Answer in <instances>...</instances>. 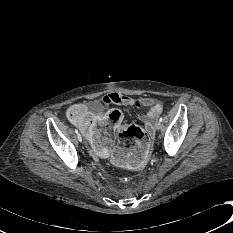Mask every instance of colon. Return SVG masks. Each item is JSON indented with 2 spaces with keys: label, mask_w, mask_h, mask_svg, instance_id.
<instances>
[{
  "label": "colon",
  "mask_w": 233,
  "mask_h": 233,
  "mask_svg": "<svg viewBox=\"0 0 233 233\" xmlns=\"http://www.w3.org/2000/svg\"><path fill=\"white\" fill-rule=\"evenodd\" d=\"M83 113V108L80 105L73 107L71 111L72 121L77 120ZM118 134L121 138V143L124 147H130L134 143H141L146 140V135L141 127L135 124L120 125Z\"/></svg>",
  "instance_id": "5ec220e1"
}]
</instances>
